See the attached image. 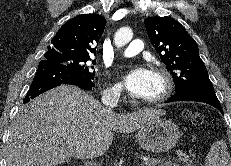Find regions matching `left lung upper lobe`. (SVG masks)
Segmentation results:
<instances>
[{
  "label": "left lung upper lobe",
  "mask_w": 231,
  "mask_h": 166,
  "mask_svg": "<svg viewBox=\"0 0 231 166\" xmlns=\"http://www.w3.org/2000/svg\"><path fill=\"white\" fill-rule=\"evenodd\" d=\"M145 27L150 41L174 77L175 92L213 89L195 40L170 17H148Z\"/></svg>",
  "instance_id": "5c2ea615"
}]
</instances>
